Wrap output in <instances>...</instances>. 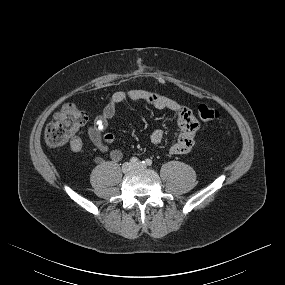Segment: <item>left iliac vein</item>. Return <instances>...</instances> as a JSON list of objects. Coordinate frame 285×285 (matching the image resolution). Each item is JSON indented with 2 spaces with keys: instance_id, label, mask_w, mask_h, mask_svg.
I'll return each instance as SVG.
<instances>
[{
  "instance_id": "obj_1",
  "label": "left iliac vein",
  "mask_w": 285,
  "mask_h": 285,
  "mask_svg": "<svg viewBox=\"0 0 285 285\" xmlns=\"http://www.w3.org/2000/svg\"><path fill=\"white\" fill-rule=\"evenodd\" d=\"M144 168H146V165L142 162L133 165V169H144Z\"/></svg>"
}]
</instances>
